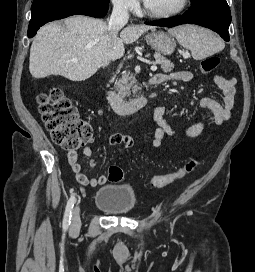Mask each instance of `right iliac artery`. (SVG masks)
Instances as JSON below:
<instances>
[{
    "label": "right iliac artery",
    "instance_id": "82829eb1",
    "mask_svg": "<svg viewBox=\"0 0 255 272\" xmlns=\"http://www.w3.org/2000/svg\"><path fill=\"white\" fill-rule=\"evenodd\" d=\"M75 203V197L71 196L70 199L67 202L65 213H64V218H63V229L66 231L71 223V213L72 209Z\"/></svg>",
    "mask_w": 255,
    "mask_h": 272
}]
</instances>
